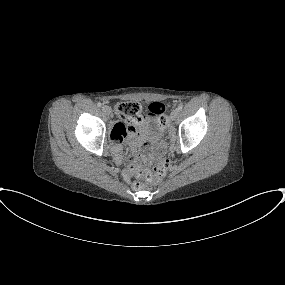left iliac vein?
Listing matches in <instances>:
<instances>
[{
    "label": "left iliac vein",
    "mask_w": 285,
    "mask_h": 285,
    "mask_svg": "<svg viewBox=\"0 0 285 285\" xmlns=\"http://www.w3.org/2000/svg\"><path fill=\"white\" fill-rule=\"evenodd\" d=\"M178 116H179V110L178 109H173L171 111V114H170L171 120H176Z\"/></svg>",
    "instance_id": "left-iliac-vein-1"
}]
</instances>
